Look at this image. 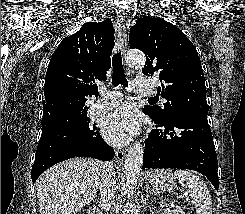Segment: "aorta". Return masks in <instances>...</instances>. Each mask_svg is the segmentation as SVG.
<instances>
[{"label": "aorta", "mask_w": 245, "mask_h": 214, "mask_svg": "<svg viewBox=\"0 0 245 214\" xmlns=\"http://www.w3.org/2000/svg\"><path fill=\"white\" fill-rule=\"evenodd\" d=\"M126 63L129 66H144L146 58L142 52L130 51L125 56ZM143 146L137 142L129 148L123 169H122V188L128 198L135 195L137 180L143 165Z\"/></svg>", "instance_id": "obj_1"}]
</instances>
